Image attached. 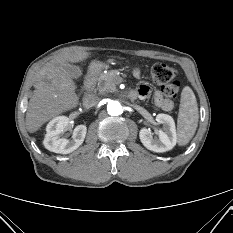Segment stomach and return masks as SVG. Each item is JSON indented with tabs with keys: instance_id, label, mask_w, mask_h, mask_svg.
<instances>
[{
	"instance_id": "stomach-1",
	"label": "stomach",
	"mask_w": 233,
	"mask_h": 233,
	"mask_svg": "<svg viewBox=\"0 0 233 233\" xmlns=\"http://www.w3.org/2000/svg\"><path fill=\"white\" fill-rule=\"evenodd\" d=\"M102 67H103V63L98 60H94L91 63V69L93 70H98V69H101Z\"/></svg>"
}]
</instances>
